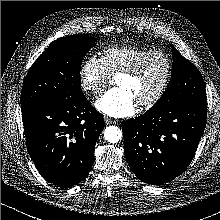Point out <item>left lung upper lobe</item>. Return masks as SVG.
I'll use <instances>...</instances> for the list:
<instances>
[{"mask_svg":"<svg viewBox=\"0 0 220 220\" xmlns=\"http://www.w3.org/2000/svg\"><path fill=\"white\" fill-rule=\"evenodd\" d=\"M171 47L173 57L171 79L165 92L152 109L206 97L204 81L199 70L173 45Z\"/></svg>","mask_w":220,"mask_h":220,"instance_id":"1","label":"left lung upper lobe"}]
</instances>
